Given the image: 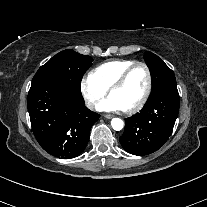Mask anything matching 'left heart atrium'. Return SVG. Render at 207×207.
<instances>
[{"label": "left heart atrium", "instance_id": "left-heart-atrium-1", "mask_svg": "<svg viewBox=\"0 0 207 207\" xmlns=\"http://www.w3.org/2000/svg\"><path fill=\"white\" fill-rule=\"evenodd\" d=\"M98 109L101 111H119V110H121L118 103L111 96L108 97L107 99H105L104 101H102L99 104Z\"/></svg>", "mask_w": 207, "mask_h": 207}]
</instances>
